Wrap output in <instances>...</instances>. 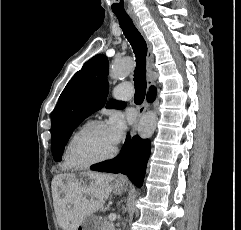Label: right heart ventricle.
Returning a JSON list of instances; mask_svg holds the SVG:
<instances>
[{"instance_id": "obj_1", "label": "right heart ventricle", "mask_w": 241, "mask_h": 230, "mask_svg": "<svg viewBox=\"0 0 241 230\" xmlns=\"http://www.w3.org/2000/svg\"><path fill=\"white\" fill-rule=\"evenodd\" d=\"M73 134L71 135V137L73 136ZM71 137L69 138L67 144L65 145V148H64V151H63V155H62V168L64 170H71V169H73L72 165L70 164V162L67 159V146H68V143H69Z\"/></svg>"}]
</instances>
